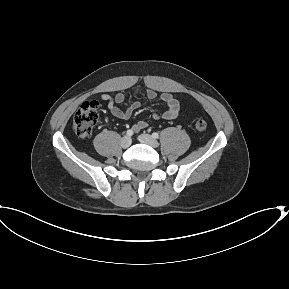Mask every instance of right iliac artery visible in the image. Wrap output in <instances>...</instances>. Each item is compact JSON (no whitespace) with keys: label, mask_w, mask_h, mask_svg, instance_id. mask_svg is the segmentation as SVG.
Here are the masks:
<instances>
[{"label":"right iliac artery","mask_w":289,"mask_h":289,"mask_svg":"<svg viewBox=\"0 0 289 289\" xmlns=\"http://www.w3.org/2000/svg\"><path fill=\"white\" fill-rule=\"evenodd\" d=\"M126 135L131 137L133 135V131L132 130H127Z\"/></svg>","instance_id":"obj_1"}]
</instances>
